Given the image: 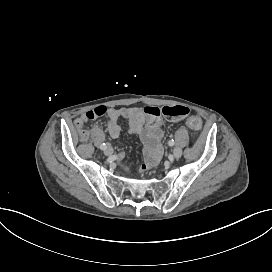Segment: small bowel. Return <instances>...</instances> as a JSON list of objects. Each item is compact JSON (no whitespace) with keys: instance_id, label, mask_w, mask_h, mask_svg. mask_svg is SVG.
<instances>
[{"instance_id":"obj_1","label":"small bowel","mask_w":272,"mask_h":272,"mask_svg":"<svg viewBox=\"0 0 272 272\" xmlns=\"http://www.w3.org/2000/svg\"><path fill=\"white\" fill-rule=\"evenodd\" d=\"M106 127L109 135L116 139L120 133V126L118 120L124 118L128 121V132L132 135H139L145 148V154L151 155V158L145 157L144 163L141 165V170L146 171L155 165L162 155V147L160 141L164 136L161 129L162 119L159 117L153 124H149L148 113L141 107H127V108H109L107 112ZM180 120V119H172ZM82 121L83 116L76 119Z\"/></svg>"}]
</instances>
